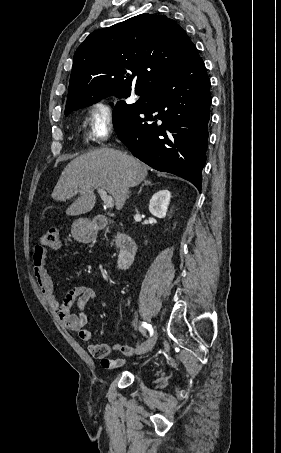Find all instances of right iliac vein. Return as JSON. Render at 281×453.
Segmentation results:
<instances>
[{"instance_id":"1","label":"right iliac vein","mask_w":281,"mask_h":453,"mask_svg":"<svg viewBox=\"0 0 281 453\" xmlns=\"http://www.w3.org/2000/svg\"><path fill=\"white\" fill-rule=\"evenodd\" d=\"M152 336L153 339H147L146 341H144L143 345H140L139 348L138 347L136 348V351L138 352L139 355H141V353L143 354L145 352H149V350H152V348L155 347L154 338L156 336L154 334Z\"/></svg>"}]
</instances>
